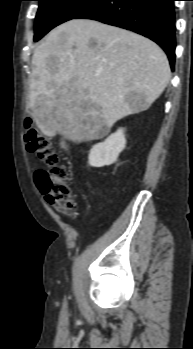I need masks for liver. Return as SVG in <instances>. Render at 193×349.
Instances as JSON below:
<instances>
[{
  "label": "liver",
  "mask_w": 193,
  "mask_h": 349,
  "mask_svg": "<svg viewBox=\"0 0 193 349\" xmlns=\"http://www.w3.org/2000/svg\"><path fill=\"white\" fill-rule=\"evenodd\" d=\"M170 80L153 41L93 20L52 30L34 51L31 115L41 132L74 143L103 138L121 118L147 110Z\"/></svg>",
  "instance_id": "1"
}]
</instances>
